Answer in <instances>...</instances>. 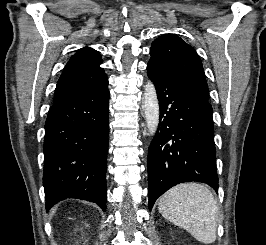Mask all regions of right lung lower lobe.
Wrapping results in <instances>:
<instances>
[{
  "label": "right lung lower lobe",
  "mask_w": 266,
  "mask_h": 245,
  "mask_svg": "<svg viewBox=\"0 0 266 245\" xmlns=\"http://www.w3.org/2000/svg\"><path fill=\"white\" fill-rule=\"evenodd\" d=\"M108 101L107 80L82 87L50 107L44 139L47 211L67 198L106 210Z\"/></svg>",
  "instance_id": "1"
}]
</instances>
